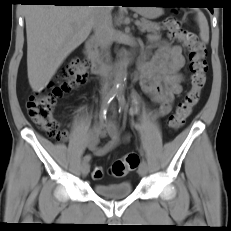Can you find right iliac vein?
Returning <instances> with one entry per match:
<instances>
[{"label":"right iliac vein","mask_w":231,"mask_h":231,"mask_svg":"<svg viewBox=\"0 0 231 231\" xmlns=\"http://www.w3.org/2000/svg\"><path fill=\"white\" fill-rule=\"evenodd\" d=\"M90 171V164L88 162H84L81 166V174L83 177L87 176Z\"/></svg>","instance_id":"obj_1"}]
</instances>
